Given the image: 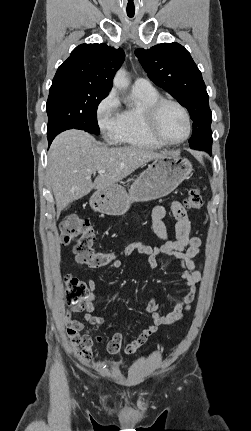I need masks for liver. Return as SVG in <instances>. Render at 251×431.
<instances>
[{
	"mask_svg": "<svg viewBox=\"0 0 251 431\" xmlns=\"http://www.w3.org/2000/svg\"><path fill=\"white\" fill-rule=\"evenodd\" d=\"M166 154L135 146L109 148L87 132L75 129L62 132L51 144L47 165L57 218L70 202L86 196L92 189L113 186L142 165ZM100 169L105 172L92 182V174Z\"/></svg>",
	"mask_w": 251,
	"mask_h": 431,
	"instance_id": "obj_1",
	"label": "liver"
}]
</instances>
